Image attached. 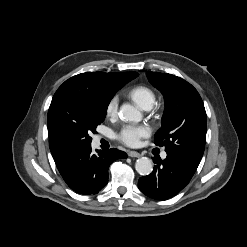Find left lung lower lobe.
I'll use <instances>...</instances> for the list:
<instances>
[{"label":"left lung lower lobe","instance_id":"1","mask_svg":"<svg viewBox=\"0 0 247 247\" xmlns=\"http://www.w3.org/2000/svg\"><path fill=\"white\" fill-rule=\"evenodd\" d=\"M153 172L141 177L138 187L145 195L166 200L176 195L190 181L200 161L190 157L167 153L164 160L156 158Z\"/></svg>","mask_w":247,"mask_h":247}]
</instances>
